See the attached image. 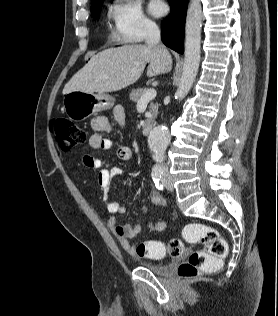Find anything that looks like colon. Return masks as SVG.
I'll return each instance as SVG.
<instances>
[{"instance_id":"5ec220e1","label":"colon","mask_w":278,"mask_h":316,"mask_svg":"<svg viewBox=\"0 0 278 316\" xmlns=\"http://www.w3.org/2000/svg\"><path fill=\"white\" fill-rule=\"evenodd\" d=\"M56 142L60 150L68 151L87 140V133L65 118H57L53 123ZM187 242H200L202 248L192 252L181 263L178 275L182 279H192L202 274L216 272L220 269L227 255V244L217 229L201 223L187 224L182 231ZM184 252L182 240L173 238L164 244L159 241H145L137 246L141 257L161 258L166 255L180 257Z\"/></svg>"}]
</instances>
